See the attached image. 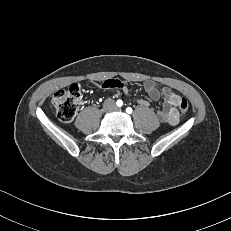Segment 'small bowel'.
<instances>
[{"instance_id":"c3829d8e","label":"small bowel","mask_w":231,"mask_h":231,"mask_svg":"<svg viewBox=\"0 0 231 231\" xmlns=\"http://www.w3.org/2000/svg\"><path fill=\"white\" fill-rule=\"evenodd\" d=\"M103 87L108 89H120L124 92H127L126 85L116 79L106 80L103 83ZM143 87L152 100L157 101L161 97L164 100L163 108L158 110L156 113L159 120L173 126L177 125L179 123L178 107L181 97L173 92L169 87L159 88L152 80H146L143 83ZM136 102L140 106L146 108L150 107V103L146 100L138 99Z\"/></svg>"}]
</instances>
